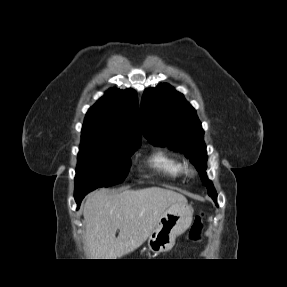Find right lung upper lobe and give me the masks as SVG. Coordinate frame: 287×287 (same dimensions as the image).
<instances>
[{"label":"right lung upper lobe","instance_id":"right-lung-upper-lobe-1","mask_svg":"<svg viewBox=\"0 0 287 287\" xmlns=\"http://www.w3.org/2000/svg\"><path fill=\"white\" fill-rule=\"evenodd\" d=\"M138 113L135 91L111 88L88 110L82 136L97 140L140 142Z\"/></svg>","mask_w":287,"mask_h":287}]
</instances>
